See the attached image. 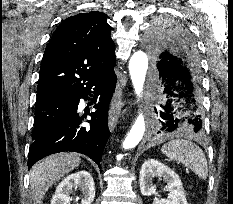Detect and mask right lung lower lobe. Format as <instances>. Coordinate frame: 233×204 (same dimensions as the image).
I'll use <instances>...</instances> for the list:
<instances>
[{"mask_svg": "<svg viewBox=\"0 0 233 204\" xmlns=\"http://www.w3.org/2000/svg\"><path fill=\"white\" fill-rule=\"evenodd\" d=\"M116 86L114 71L87 84L68 98V115L44 136L33 141L29 149L28 168L45 156L64 152H78L89 156L100 166L105 144L110 136L108 129V106ZM95 93L94 100L100 95L91 113L90 127H81L84 116H79L77 109L81 98L87 100L90 92Z\"/></svg>", "mask_w": 233, "mask_h": 204, "instance_id": "right-lung-lower-lobe-1", "label": "right lung lower lobe"}]
</instances>
